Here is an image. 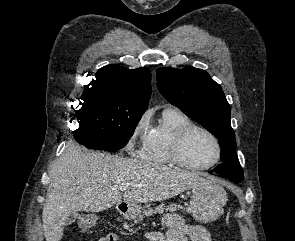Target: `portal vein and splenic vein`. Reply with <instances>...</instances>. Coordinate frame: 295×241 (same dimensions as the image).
Instances as JSON below:
<instances>
[{"instance_id": "portal-vein-and-splenic-vein-1", "label": "portal vein and splenic vein", "mask_w": 295, "mask_h": 241, "mask_svg": "<svg viewBox=\"0 0 295 241\" xmlns=\"http://www.w3.org/2000/svg\"><path fill=\"white\" fill-rule=\"evenodd\" d=\"M128 187H129L128 184H122V185L119 186V190L125 191Z\"/></svg>"}]
</instances>
